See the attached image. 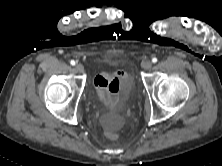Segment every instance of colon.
I'll list each match as a JSON object with an SVG mask.
<instances>
[{
	"label": "colon",
	"mask_w": 222,
	"mask_h": 166,
	"mask_svg": "<svg viewBox=\"0 0 222 166\" xmlns=\"http://www.w3.org/2000/svg\"><path fill=\"white\" fill-rule=\"evenodd\" d=\"M107 137L112 139V140H115V139H117L118 135L115 132L108 131L107 132Z\"/></svg>",
	"instance_id": "5ec220e1"
}]
</instances>
